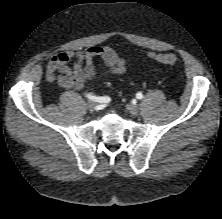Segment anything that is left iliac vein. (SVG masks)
Wrapping results in <instances>:
<instances>
[{
    "label": "left iliac vein",
    "instance_id": "obj_1",
    "mask_svg": "<svg viewBox=\"0 0 222 219\" xmlns=\"http://www.w3.org/2000/svg\"><path fill=\"white\" fill-rule=\"evenodd\" d=\"M127 110L132 115H136L139 112V107L135 104H129V105H127Z\"/></svg>",
    "mask_w": 222,
    "mask_h": 219
}]
</instances>
